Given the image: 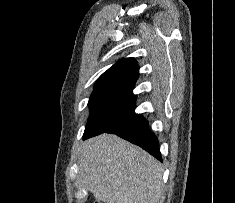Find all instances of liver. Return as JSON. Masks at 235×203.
<instances>
[{
    "mask_svg": "<svg viewBox=\"0 0 235 203\" xmlns=\"http://www.w3.org/2000/svg\"><path fill=\"white\" fill-rule=\"evenodd\" d=\"M78 173L80 184L104 203H158L162 195L161 164L113 134L83 143Z\"/></svg>",
    "mask_w": 235,
    "mask_h": 203,
    "instance_id": "6515ba94",
    "label": "liver"
}]
</instances>
